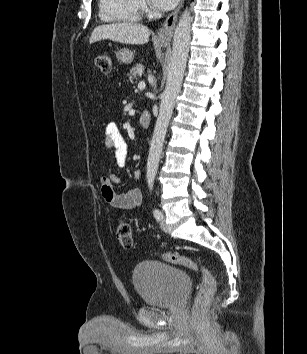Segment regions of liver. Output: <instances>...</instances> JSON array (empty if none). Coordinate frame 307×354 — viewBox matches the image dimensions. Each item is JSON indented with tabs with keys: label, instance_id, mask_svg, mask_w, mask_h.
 Listing matches in <instances>:
<instances>
[{
	"label": "liver",
	"instance_id": "liver-1",
	"mask_svg": "<svg viewBox=\"0 0 307 354\" xmlns=\"http://www.w3.org/2000/svg\"><path fill=\"white\" fill-rule=\"evenodd\" d=\"M150 30L137 23H113L96 27L90 37V44L101 40H112L123 44L142 45L148 42Z\"/></svg>",
	"mask_w": 307,
	"mask_h": 354
}]
</instances>
